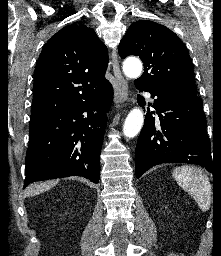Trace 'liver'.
<instances>
[{
	"mask_svg": "<svg viewBox=\"0 0 221 256\" xmlns=\"http://www.w3.org/2000/svg\"><path fill=\"white\" fill-rule=\"evenodd\" d=\"M57 183H58V180H54V181H46L43 183L30 185L26 189V196L30 197V196L38 195L50 189L51 187L55 186Z\"/></svg>",
	"mask_w": 221,
	"mask_h": 256,
	"instance_id": "6515ba94",
	"label": "liver"
}]
</instances>
